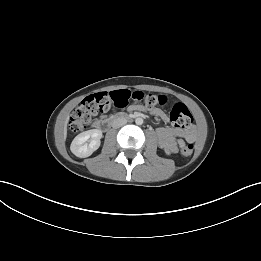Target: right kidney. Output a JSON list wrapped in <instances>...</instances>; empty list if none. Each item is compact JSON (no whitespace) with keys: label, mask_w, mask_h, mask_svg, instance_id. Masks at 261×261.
Instances as JSON below:
<instances>
[{"label":"right kidney","mask_w":261,"mask_h":261,"mask_svg":"<svg viewBox=\"0 0 261 261\" xmlns=\"http://www.w3.org/2000/svg\"><path fill=\"white\" fill-rule=\"evenodd\" d=\"M101 138L102 132L98 129L82 132L73 139L71 152L79 158L88 157L99 148Z\"/></svg>","instance_id":"1"}]
</instances>
